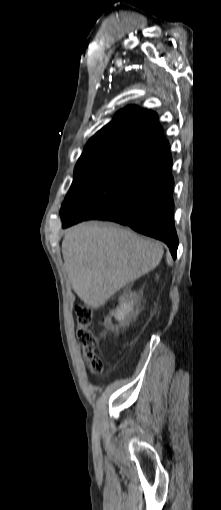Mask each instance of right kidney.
<instances>
[{"mask_svg":"<svg viewBox=\"0 0 221 510\" xmlns=\"http://www.w3.org/2000/svg\"><path fill=\"white\" fill-rule=\"evenodd\" d=\"M134 305H135L134 295L132 293L127 294L121 299L119 306L116 308L115 311L112 312V314L114 315L116 320L124 321L132 313Z\"/></svg>","mask_w":221,"mask_h":510,"instance_id":"obj_1","label":"right kidney"}]
</instances>
